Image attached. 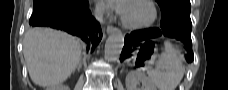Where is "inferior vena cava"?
Wrapping results in <instances>:
<instances>
[{"mask_svg":"<svg viewBox=\"0 0 228 90\" xmlns=\"http://www.w3.org/2000/svg\"><path fill=\"white\" fill-rule=\"evenodd\" d=\"M94 16L99 22H103V10L101 8L96 7Z\"/></svg>","mask_w":228,"mask_h":90,"instance_id":"obj_1","label":"inferior vena cava"}]
</instances>
